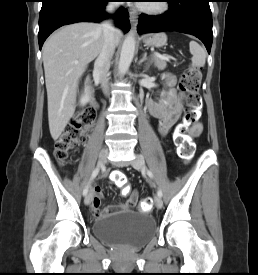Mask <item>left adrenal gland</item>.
<instances>
[{
  "label": "left adrenal gland",
  "instance_id": "a2214340",
  "mask_svg": "<svg viewBox=\"0 0 258 275\" xmlns=\"http://www.w3.org/2000/svg\"><path fill=\"white\" fill-rule=\"evenodd\" d=\"M147 60V52H144V54H143V56H142V58L140 59V61H139V65L140 64H142L144 61H146Z\"/></svg>",
  "mask_w": 258,
  "mask_h": 275
}]
</instances>
